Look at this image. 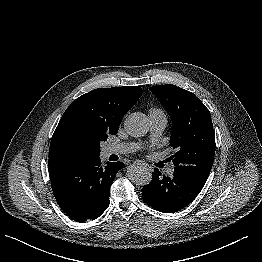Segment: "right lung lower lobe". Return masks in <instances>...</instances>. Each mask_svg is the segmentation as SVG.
Here are the masks:
<instances>
[{"label": "right lung lower lobe", "mask_w": 262, "mask_h": 262, "mask_svg": "<svg viewBox=\"0 0 262 262\" xmlns=\"http://www.w3.org/2000/svg\"><path fill=\"white\" fill-rule=\"evenodd\" d=\"M53 194L73 220L85 222L102 215L109 206L110 186L123 162L101 165L99 156L48 161Z\"/></svg>", "instance_id": "98d812e1"}]
</instances>
